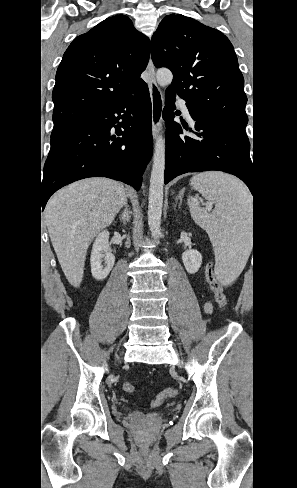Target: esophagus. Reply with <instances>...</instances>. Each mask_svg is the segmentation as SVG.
Instances as JSON below:
<instances>
[{"label":"esophagus","instance_id":"obj_1","mask_svg":"<svg viewBox=\"0 0 297 488\" xmlns=\"http://www.w3.org/2000/svg\"><path fill=\"white\" fill-rule=\"evenodd\" d=\"M147 74H148V87H149L151 106H152L151 108L152 134L154 139H156L162 121L164 98L156 82L154 65L151 58L149 59L148 62Z\"/></svg>","mask_w":297,"mask_h":488}]
</instances>
